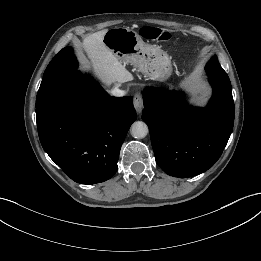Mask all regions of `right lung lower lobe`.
<instances>
[{
  "label": "right lung lower lobe",
  "mask_w": 261,
  "mask_h": 261,
  "mask_svg": "<svg viewBox=\"0 0 261 261\" xmlns=\"http://www.w3.org/2000/svg\"><path fill=\"white\" fill-rule=\"evenodd\" d=\"M136 118L131 96L108 97L96 81L76 70L36 100L42 147L82 184L100 183L116 173L122 143Z\"/></svg>",
  "instance_id": "1"
}]
</instances>
